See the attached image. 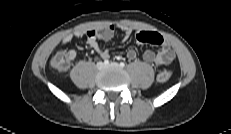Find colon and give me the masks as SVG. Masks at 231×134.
I'll use <instances>...</instances> for the list:
<instances>
[{"label":"colon","mask_w":231,"mask_h":134,"mask_svg":"<svg viewBox=\"0 0 231 134\" xmlns=\"http://www.w3.org/2000/svg\"><path fill=\"white\" fill-rule=\"evenodd\" d=\"M71 63V60L67 52L59 51L50 60V65L57 71H65ZM172 76V71L169 69L161 70L157 74V80L159 82H167Z\"/></svg>","instance_id":"obj_1"}]
</instances>
